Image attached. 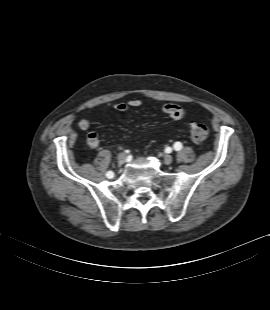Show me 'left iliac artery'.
Segmentation results:
<instances>
[{
    "instance_id": "left-iliac-artery-1",
    "label": "left iliac artery",
    "mask_w": 270,
    "mask_h": 310,
    "mask_svg": "<svg viewBox=\"0 0 270 310\" xmlns=\"http://www.w3.org/2000/svg\"><path fill=\"white\" fill-rule=\"evenodd\" d=\"M174 149H175L176 151L181 150V149H182V144H181L180 142H176V143L174 144Z\"/></svg>"
}]
</instances>
